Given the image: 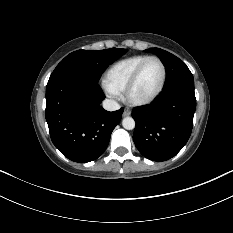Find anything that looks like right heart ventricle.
Returning <instances> with one entry per match:
<instances>
[{"label":"right heart ventricle","mask_w":233,"mask_h":233,"mask_svg":"<svg viewBox=\"0 0 233 233\" xmlns=\"http://www.w3.org/2000/svg\"><path fill=\"white\" fill-rule=\"evenodd\" d=\"M147 57L149 56L135 55L117 61L107 70L105 84L117 93H123L133 72Z\"/></svg>","instance_id":"right-heart-ventricle-1"}]
</instances>
